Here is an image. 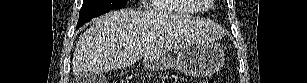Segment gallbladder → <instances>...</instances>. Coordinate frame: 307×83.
Returning <instances> with one entry per match:
<instances>
[{"mask_svg": "<svg viewBox=\"0 0 307 83\" xmlns=\"http://www.w3.org/2000/svg\"><path fill=\"white\" fill-rule=\"evenodd\" d=\"M105 76L102 73H88L86 74L81 82L82 83H103Z\"/></svg>", "mask_w": 307, "mask_h": 83, "instance_id": "1", "label": "gallbladder"}]
</instances>
